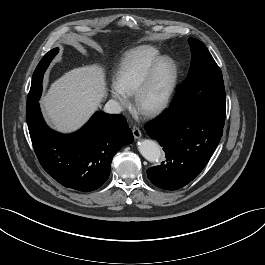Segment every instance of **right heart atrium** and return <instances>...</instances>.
Instances as JSON below:
<instances>
[{"label":"right heart atrium","mask_w":265,"mask_h":265,"mask_svg":"<svg viewBox=\"0 0 265 265\" xmlns=\"http://www.w3.org/2000/svg\"><path fill=\"white\" fill-rule=\"evenodd\" d=\"M115 85V84H114ZM112 97L120 105L125 106L127 104V96L120 92L116 86L112 88Z\"/></svg>","instance_id":"1"}]
</instances>
